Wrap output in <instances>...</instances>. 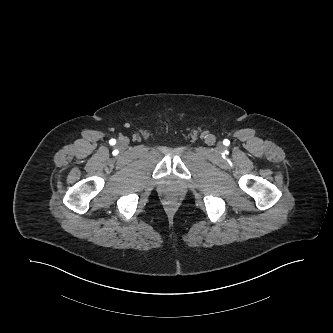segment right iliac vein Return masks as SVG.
<instances>
[{"label": "right iliac vein", "mask_w": 333, "mask_h": 333, "mask_svg": "<svg viewBox=\"0 0 333 333\" xmlns=\"http://www.w3.org/2000/svg\"><path fill=\"white\" fill-rule=\"evenodd\" d=\"M121 144H122V146H126V141L123 140V141L121 142Z\"/></svg>", "instance_id": "1"}]
</instances>
